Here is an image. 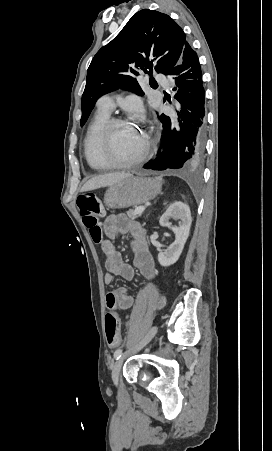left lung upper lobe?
Masks as SVG:
<instances>
[{"mask_svg": "<svg viewBox=\"0 0 272 451\" xmlns=\"http://www.w3.org/2000/svg\"><path fill=\"white\" fill-rule=\"evenodd\" d=\"M185 33L167 14L143 9L131 17L121 32L94 56L82 95L81 126L97 99L115 89L143 95L136 77L154 67L168 75L180 60L187 44Z\"/></svg>", "mask_w": 272, "mask_h": 451, "instance_id": "left-lung-upper-lobe-1", "label": "left lung upper lobe"}]
</instances>
